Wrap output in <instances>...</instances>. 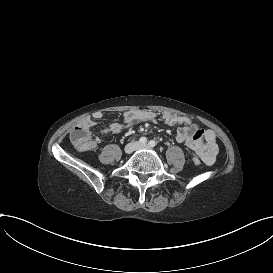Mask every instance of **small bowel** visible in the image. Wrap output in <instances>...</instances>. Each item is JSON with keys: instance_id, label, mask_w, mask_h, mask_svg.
<instances>
[{"instance_id": "1", "label": "small bowel", "mask_w": 273, "mask_h": 273, "mask_svg": "<svg viewBox=\"0 0 273 273\" xmlns=\"http://www.w3.org/2000/svg\"><path fill=\"white\" fill-rule=\"evenodd\" d=\"M159 114L152 110L135 109L128 110L123 113L119 122L111 123L104 129L105 133L118 134L123 131L126 126L134 122L155 121ZM103 117L101 111H95L91 115L85 116L82 120H87L95 125L96 120ZM162 121L169 126H179L175 137L178 142L184 143L188 148L201 157L207 166L214 164L218 153V145L216 142V134L211 129H203L190 117L182 114L164 112L161 116ZM99 141L98 137H96Z\"/></svg>"}]
</instances>
